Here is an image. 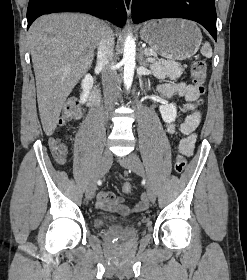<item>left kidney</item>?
Here are the masks:
<instances>
[{"mask_svg": "<svg viewBox=\"0 0 247 280\" xmlns=\"http://www.w3.org/2000/svg\"><path fill=\"white\" fill-rule=\"evenodd\" d=\"M159 101L162 103L160 105L159 110L162 116V119L166 123H172L175 121L177 116V108L175 104H168L164 101V99L159 97Z\"/></svg>", "mask_w": 247, "mask_h": 280, "instance_id": "5707ae66", "label": "left kidney"}]
</instances>
